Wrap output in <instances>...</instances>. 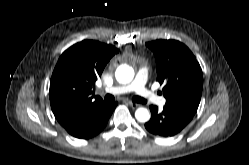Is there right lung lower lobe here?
Listing matches in <instances>:
<instances>
[{"mask_svg": "<svg viewBox=\"0 0 249 165\" xmlns=\"http://www.w3.org/2000/svg\"><path fill=\"white\" fill-rule=\"evenodd\" d=\"M117 102L115 103H102L92 111L81 116L72 123L64 126L66 131L72 136L79 139H88L99 134L107 125L113 110L115 109Z\"/></svg>", "mask_w": 249, "mask_h": 165, "instance_id": "1", "label": "right lung lower lobe"}]
</instances>
